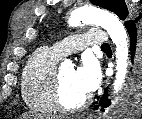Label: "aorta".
Wrapping results in <instances>:
<instances>
[{
  "label": "aorta",
  "instance_id": "obj_1",
  "mask_svg": "<svg viewBox=\"0 0 142 119\" xmlns=\"http://www.w3.org/2000/svg\"><path fill=\"white\" fill-rule=\"evenodd\" d=\"M80 22L99 24L110 35L116 47V76L114 91L118 92L125 82L129 54L127 34L123 24L110 12L94 7H81L71 12L69 24L71 26H77ZM63 65L69 66L71 65V62L65 60Z\"/></svg>",
  "mask_w": 142,
  "mask_h": 119
}]
</instances>
